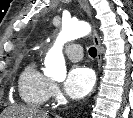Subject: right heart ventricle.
I'll return each instance as SVG.
<instances>
[{"label":"right heart ventricle","instance_id":"1","mask_svg":"<svg viewBox=\"0 0 133 118\" xmlns=\"http://www.w3.org/2000/svg\"><path fill=\"white\" fill-rule=\"evenodd\" d=\"M51 80L43 74L35 60L30 61L21 72L18 80V91L24 103L39 107L50 97Z\"/></svg>","mask_w":133,"mask_h":118}]
</instances>
